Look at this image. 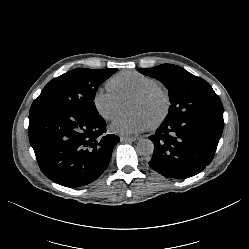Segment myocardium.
<instances>
[{"label":"myocardium","instance_id":"1","mask_svg":"<svg viewBox=\"0 0 249 249\" xmlns=\"http://www.w3.org/2000/svg\"><path fill=\"white\" fill-rule=\"evenodd\" d=\"M155 97H160L163 103V108L158 118L154 120L151 124H149V128L151 130H156L160 126H162L170 115V112L172 109V99H171V96L168 90L157 85V86L150 87L138 94H135L132 97V99L139 100V101H148Z\"/></svg>","mask_w":249,"mask_h":249}]
</instances>
